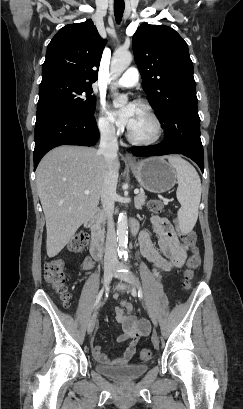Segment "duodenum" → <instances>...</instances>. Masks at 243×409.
Instances as JSON below:
<instances>
[{
	"instance_id": "obj_1",
	"label": "duodenum",
	"mask_w": 243,
	"mask_h": 409,
	"mask_svg": "<svg viewBox=\"0 0 243 409\" xmlns=\"http://www.w3.org/2000/svg\"><path fill=\"white\" fill-rule=\"evenodd\" d=\"M100 215H101L100 211L98 209H94L90 213L88 220H87L89 224L93 225V230H92V235H91V244H90V253L96 259L101 258L103 255V251H104L101 234H100L99 229L96 226L100 218Z\"/></svg>"
}]
</instances>
